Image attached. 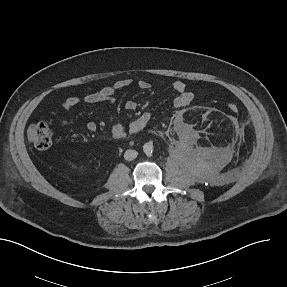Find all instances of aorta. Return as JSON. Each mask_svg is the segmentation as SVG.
Wrapping results in <instances>:
<instances>
[{"mask_svg": "<svg viewBox=\"0 0 287 287\" xmlns=\"http://www.w3.org/2000/svg\"><path fill=\"white\" fill-rule=\"evenodd\" d=\"M143 151L146 155H151L153 152V144L151 142H147L143 145Z\"/></svg>", "mask_w": 287, "mask_h": 287, "instance_id": "aorta-1", "label": "aorta"}]
</instances>
